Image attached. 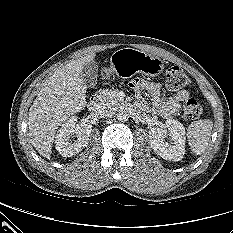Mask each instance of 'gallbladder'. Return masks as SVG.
Listing matches in <instances>:
<instances>
[{
    "label": "gallbladder",
    "instance_id": "1",
    "mask_svg": "<svg viewBox=\"0 0 233 233\" xmlns=\"http://www.w3.org/2000/svg\"><path fill=\"white\" fill-rule=\"evenodd\" d=\"M98 63L91 60L86 63L82 69L81 77L89 88L95 87L97 84Z\"/></svg>",
    "mask_w": 233,
    "mask_h": 233
}]
</instances>
